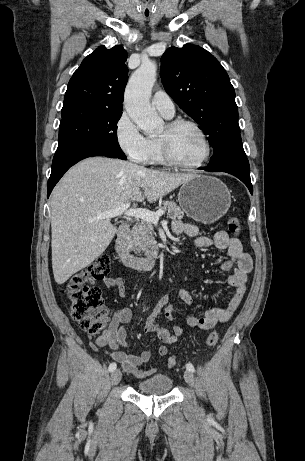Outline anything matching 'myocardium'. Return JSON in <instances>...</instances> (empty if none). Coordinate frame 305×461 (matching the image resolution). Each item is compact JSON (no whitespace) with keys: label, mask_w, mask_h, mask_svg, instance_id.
<instances>
[{"label":"myocardium","mask_w":305,"mask_h":461,"mask_svg":"<svg viewBox=\"0 0 305 461\" xmlns=\"http://www.w3.org/2000/svg\"><path fill=\"white\" fill-rule=\"evenodd\" d=\"M182 126H191L198 132V134L203 140V143L205 146V153L203 157L195 163L189 164V163H184L180 161L175 156L172 150V145H171L172 134ZM166 127H167V135L165 137L159 138V144L161 147L162 155L168 164L175 166L177 168L192 170V169H197L206 163V161L209 159L211 155L212 148H211V143H210V140L206 132L203 130V128L198 123L190 119L180 118V119H174V120L169 121Z\"/></svg>","instance_id":"1"}]
</instances>
